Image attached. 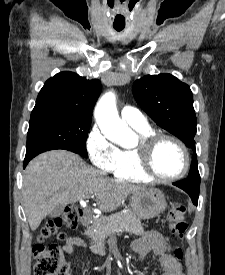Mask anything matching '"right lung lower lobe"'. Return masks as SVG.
<instances>
[{
	"instance_id": "right-lung-lower-lobe-1",
	"label": "right lung lower lobe",
	"mask_w": 225,
	"mask_h": 275,
	"mask_svg": "<svg viewBox=\"0 0 225 275\" xmlns=\"http://www.w3.org/2000/svg\"><path fill=\"white\" fill-rule=\"evenodd\" d=\"M31 159H32V158H26V157H25L24 165H23L24 168L26 167V165L28 164V162H29Z\"/></svg>"
}]
</instances>
